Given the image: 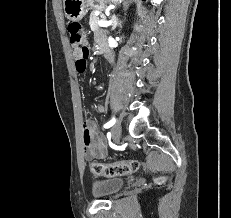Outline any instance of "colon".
<instances>
[{"mask_svg": "<svg viewBox=\"0 0 231 218\" xmlns=\"http://www.w3.org/2000/svg\"><path fill=\"white\" fill-rule=\"evenodd\" d=\"M69 41L74 50H79L81 56H89L88 34L82 25L78 22H71L68 25ZM139 163L135 159L117 161L112 163L93 162L90 165V171L95 175L106 177L123 176L136 172ZM158 182L165 181L164 177L157 179Z\"/></svg>", "mask_w": 231, "mask_h": 218, "instance_id": "5ec220e1", "label": "colon"}]
</instances>
